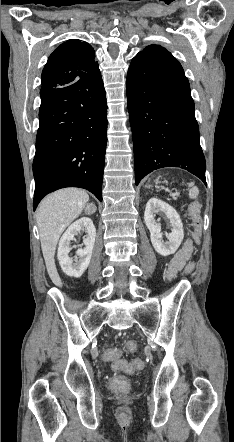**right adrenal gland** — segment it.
Wrapping results in <instances>:
<instances>
[{"instance_id": "right-adrenal-gland-1", "label": "right adrenal gland", "mask_w": 234, "mask_h": 442, "mask_svg": "<svg viewBox=\"0 0 234 442\" xmlns=\"http://www.w3.org/2000/svg\"><path fill=\"white\" fill-rule=\"evenodd\" d=\"M90 206H92L93 208H95L96 209V207H94L92 204L90 205Z\"/></svg>"}]
</instances>
